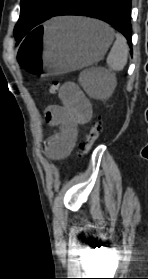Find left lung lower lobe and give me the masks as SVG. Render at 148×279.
Returning a JSON list of instances; mask_svg holds the SVG:
<instances>
[{"label":"left lung lower lobe","mask_w":148,"mask_h":279,"mask_svg":"<svg viewBox=\"0 0 148 279\" xmlns=\"http://www.w3.org/2000/svg\"><path fill=\"white\" fill-rule=\"evenodd\" d=\"M61 15H80L103 20L120 31L132 48L131 0H68L53 17Z\"/></svg>","instance_id":"obj_1"}]
</instances>
